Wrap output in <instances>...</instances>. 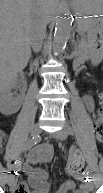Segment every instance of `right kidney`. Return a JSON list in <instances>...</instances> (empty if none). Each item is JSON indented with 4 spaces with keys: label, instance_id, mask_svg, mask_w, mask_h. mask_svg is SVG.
Returning a JSON list of instances; mask_svg holds the SVG:
<instances>
[{
    "label": "right kidney",
    "instance_id": "obj_1",
    "mask_svg": "<svg viewBox=\"0 0 103 193\" xmlns=\"http://www.w3.org/2000/svg\"><path fill=\"white\" fill-rule=\"evenodd\" d=\"M17 85V77L1 76L0 80V111L4 115H12L16 113L21 104L14 100L11 90Z\"/></svg>",
    "mask_w": 103,
    "mask_h": 193
}]
</instances>
